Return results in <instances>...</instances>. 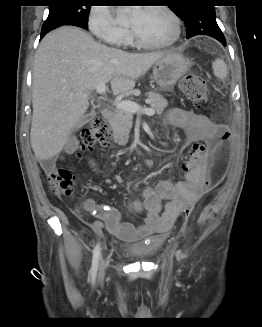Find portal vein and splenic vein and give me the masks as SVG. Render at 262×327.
<instances>
[{
	"label": "portal vein and splenic vein",
	"instance_id": "18ae733b",
	"mask_svg": "<svg viewBox=\"0 0 262 327\" xmlns=\"http://www.w3.org/2000/svg\"><path fill=\"white\" fill-rule=\"evenodd\" d=\"M96 92L98 94L104 95L106 94V84L105 83H99L96 86ZM114 105L119 108L122 109L124 111L130 112V113H142V114H146L149 116H152L155 114L154 109L152 108H142L140 105H138L135 102L129 101V100H121V101H115Z\"/></svg>",
	"mask_w": 262,
	"mask_h": 327
}]
</instances>
